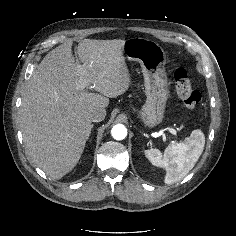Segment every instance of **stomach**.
Instances as JSON below:
<instances>
[{
    "mask_svg": "<svg viewBox=\"0 0 236 236\" xmlns=\"http://www.w3.org/2000/svg\"><path fill=\"white\" fill-rule=\"evenodd\" d=\"M122 52L125 59L141 65L147 98L138 116L145 127L154 128L164 119L170 93L164 68L166 54L157 42L141 37L125 40Z\"/></svg>",
    "mask_w": 236,
    "mask_h": 236,
    "instance_id": "stomach-1",
    "label": "stomach"
}]
</instances>
